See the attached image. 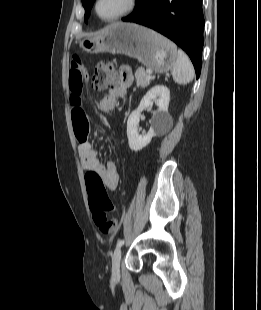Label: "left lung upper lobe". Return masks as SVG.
<instances>
[{"mask_svg":"<svg viewBox=\"0 0 261 310\" xmlns=\"http://www.w3.org/2000/svg\"><path fill=\"white\" fill-rule=\"evenodd\" d=\"M94 1L95 0H82V5L85 8V16H84L85 22H87V19L90 16L91 8L93 6Z\"/></svg>","mask_w":261,"mask_h":310,"instance_id":"left-lung-upper-lobe-1","label":"left lung upper lobe"}]
</instances>
